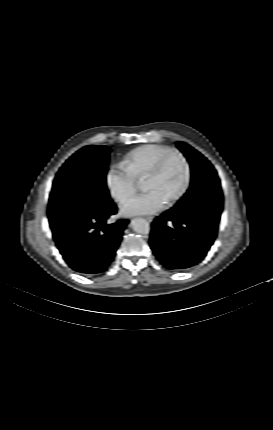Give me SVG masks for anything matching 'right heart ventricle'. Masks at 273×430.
<instances>
[{
	"label": "right heart ventricle",
	"mask_w": 273,
	"mask_h": 430,
	"mask_svg": "<svg viewBox=\"0 0 273 430\" xmlns=\"http://www.w3.org/2000/svg\"><path fill=\"white\" fill-rule=\"evenodd\" d=\"M170 147L159 144H145L128 152L122 160V164L138 180L146 178L157 161Z\"/></svg>",
	"instance_id": "right-heart-ventricle-1"
}]
</instances>
